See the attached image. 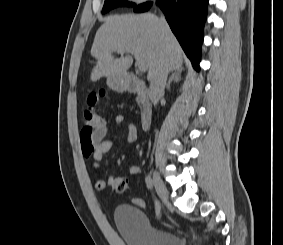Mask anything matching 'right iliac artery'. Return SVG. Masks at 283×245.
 <instances>
[{
    "mask_svg": "<svg viewBox=\"0 0 283 245\" xmlns=\"http://www.w3.org/2000/svg\"><path fill=\"white\" fill-rule=\"evenodd\" d=\"M145 182H146V186L148 189L153 190V181L151 179V177L148 175L145 178ZM155 209H156V214L157 216L160 215V210H161V206H160V202L158 199L155 198Z\"/></svg>",
    "mask_w": 283,
    "mask_h": 245,
    "instance_id": "obj_1",
    "label": "right iliac artery"
}]
</instances>
